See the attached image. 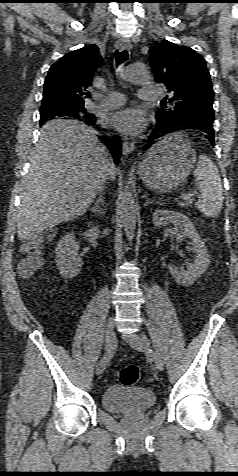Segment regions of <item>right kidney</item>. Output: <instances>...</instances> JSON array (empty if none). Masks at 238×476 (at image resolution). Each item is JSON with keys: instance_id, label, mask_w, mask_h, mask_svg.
Here are the masks:
<instances>
[{"instance_id": "ca27d5eb", "label": "right kidney", "mask_w": 238, "mask_h": 476, "mask_svg": "<svg viewBox=\"0 0 238 476\" xmlns=\"http://www.w3.org/2000/svg\"><path fill=\"white\" fill-rule=\"evenodd\" d=\"M79 249L74 232L67 233L58 242L55 249L56 265L64 278H73L80 273L83 262Z\"/></svg>"}]
</instances>
